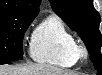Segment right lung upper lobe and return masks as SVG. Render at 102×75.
<instances>
[{
  "label": "right lung upper lobe",
  "mask_w": 102,
  "mask_h": 75,
  "mask_svg": "<svg viewBox=\"0 0 102 75\" xmlns=\"http://www.w3.org/2000/svg\"><path fill=\"white\" fill-rule=\"evenodd\" d=\"M41 0H0V11L37 15Z\"/></svg>",
  "instance_id": "obj_1"
}]
</instances>
